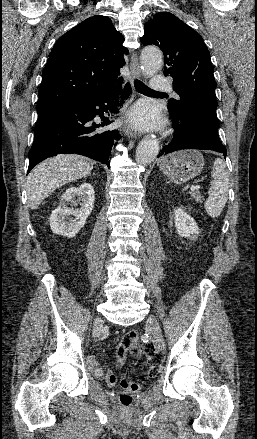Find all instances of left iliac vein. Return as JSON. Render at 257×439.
Wrapping results in <instances>:
<instances>
[{
  "label": "left iliac vein",
  "instance_id": "obj_1",
  "mask_svg": "<svg viewBox=\"0 0 257 439\" xmlns=\"http://www.w3.org/2000/svg\"><path fill=\"white\" fill-rule=\"evenodd\" d=\"M148 332L151 335V338L155 345L160 349L164 350L165 344L164 340L155 316L150 315L148 318Z\"/></svg>",
  "mask_w": 257,
  "mask_h": 439
}]
</instances>
